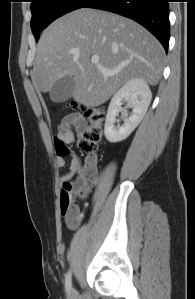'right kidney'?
Wrapping results in <instances>:
<instances>
[{"label": "right kidney", "instance_id": "obj_1", "mask_svg": "<svg viewBox=\"0 0 195 299\" xmlns=\"http://www.w3.org/2000/svg\"><path fill=\"white\" fill-rule=\"evenodd\" d=\"M152 99L151 90L147 82L141 78H134L126 82L112 97L108 107L104 134L111 143L126 139L138 126L146 114ZM127 102V107L132 108L129 117L122 104ZM123 112V125L115 126L116 117Z\"/></svg>", "mask_w": 195, "mask_h": 299}]
</instances>
